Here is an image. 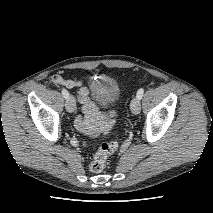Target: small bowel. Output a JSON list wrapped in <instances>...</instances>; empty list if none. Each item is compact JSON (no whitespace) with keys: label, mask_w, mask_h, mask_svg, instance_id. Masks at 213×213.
Segmentation results:
<instances>
[{"label":"small bowel","mask_w":213,"mask_h":213,"mask_svg":"<svg viewBox=\"0 0 213 213\" xmlns=\"http://www.w3.org/2000/svg\"><path fill=\"white\" fill-rule=\"evenodd\" d=\"M51 80L53 83L63 85L69 89L79 88L77 97L82 107L81 113L75 119V127L79 131L91 135L102 132L112 125L115 118L114 112L107 113L102 119L95 118L90 91L83 86L82 80H66L59 75H54Z\"/></svg>","instance_id":"small-bowel-1"}]
</instances>
